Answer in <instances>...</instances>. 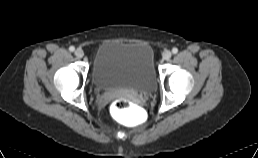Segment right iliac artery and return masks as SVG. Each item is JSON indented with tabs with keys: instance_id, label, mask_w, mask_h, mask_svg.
<instances>
[{
	"instance_id": "1",
	"label": "right iliac artery",
	"mask_w": 258,
	"mask_h": 158,
	"mask_svg": "<svg viewBox=\"0 0 258 158\" xmlns=\"http://www.w3.org/2000/svg\"><path fill=\"white\" fill-rule=\"evenodd\" d=\"M75 50V47L74 46H70L69 47V51L73 52Z\"/></svg>"
}]
</instances>
